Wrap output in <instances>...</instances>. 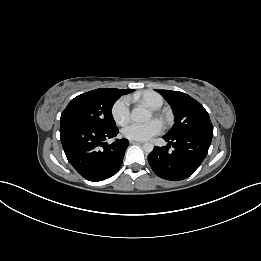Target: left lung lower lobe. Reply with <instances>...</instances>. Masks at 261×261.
<instances>
[{
  "label": "left lung lower lobe",
  "mask_w": 261,
  "mask_h": 261,
  "mask_svg": "<svg viewBox=\"0 0 261 261\" xmlns=\"http://www.w3.org/2000/svg\"><path fill=\"white\" fill-rule=\"evenodd\" d=\"M213 134L188 133L175 137L164 136L167 146L155 147L148 162L159 177L179 181L189 177L207 155ZM170 145L174 148L169 151Z\"/></svg>",
  "instance_id": "obj_1"
}]
</instances>
